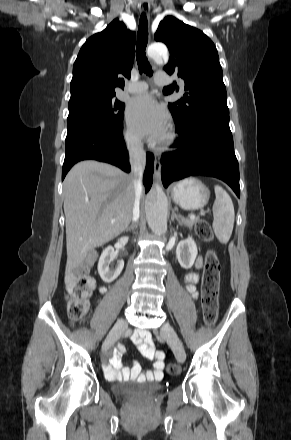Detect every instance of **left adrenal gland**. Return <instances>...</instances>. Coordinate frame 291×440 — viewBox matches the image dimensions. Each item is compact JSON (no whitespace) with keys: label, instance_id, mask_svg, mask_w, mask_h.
Here are the masks:
<instances>
[{"label":"left adrenal gland","instance_id":"a2214340","mask_svg":"<svg viewBox=\"0 0 291 440\" xmlns=\"http://www.w3.org/2000/svg\"><path fill=\"white\" fill-rule=\"evenodd\" d=\"M174 219H176L179 223H181V222H180V217H179V215H177V214L175 213V211L172 210L171 220L173 221Z\"/></svg>","mask_w":291,"mask_h":440}]
</instances>
